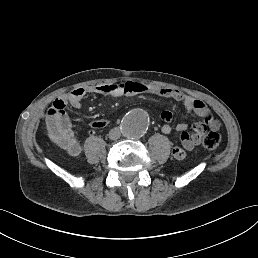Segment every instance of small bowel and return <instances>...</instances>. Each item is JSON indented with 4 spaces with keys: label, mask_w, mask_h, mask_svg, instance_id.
<instances>
[{
    "label": "small bowel",
    "mask_w": 258,
    "mask_h": 258,
    "mask_svg": "<svg viewBox=\"0 0 258 258\" xmlns=\"http://www.w3.org/2000/svg\"><path fill=\"white\" fill-rule=\"evenodd\" d=\"M91 93L115 98L143 93L172 98L181 102L187 112H192L203 118L202 121L194 123L192 132H189L188 124L185 122H180L175 126L170 124L173 120V114L170 111L161 113V119L165 122L161 128L162 132L164 134L177 132L180 136L181 146H176L172 150L173 156L178 160L184 159L188 151L193 150L201 143L207 128L218 129L220 126L219 121L212 115L203 101L179 90L131 81L76 88L57 98L46 114V128L50 139L71 156H78L81 153V146L71 127L65 108L67 106L75 109L81 108L83 98ZM109 123L108 119H94L90 122V127L93 130H99L108 126Z\"/></svg>",
    "instance_id": "obj_1"
}]
</instances>
